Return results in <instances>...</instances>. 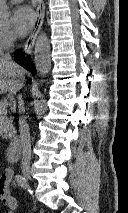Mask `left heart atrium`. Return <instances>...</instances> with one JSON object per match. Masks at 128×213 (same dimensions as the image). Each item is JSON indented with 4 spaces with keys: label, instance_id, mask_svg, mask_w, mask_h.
<instances>
[{
    "label": "left heart atrium",
    "instance_id": "1",
    "mask_svg": "<svg viewBox=\"0 0 128 213\" xmlns=\"http://www.w3.org/2000/svg\"><path fill=\"white\" fill-rule=\"evenodd\" d=\"M11 21L16 35L24 37L34 24V13L32 9L26 5L18 6L12 12Z\"/></svg>",
    "mask_w": 128,
    "mask_h": 213
}]
</instances>
